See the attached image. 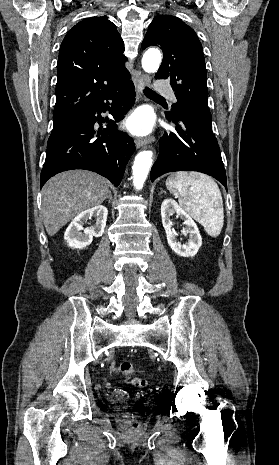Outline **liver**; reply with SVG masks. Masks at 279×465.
I'll list each match as a JSON object with an SVG mask.
<instances>
[{
    "label": "liver",
    "instance_id": "liver-1",
    "mask_svg": "<svg viewBox=\"0 0 279 465\" xmlns=\"http://www.w3.org/2000/svg\"><path fill=\"white\" fill-rule=\"evenodd\" d=\"M107 180L90 171L70 170L52 177L42 189V219L54 236L79 213L100 205L108 196Z\"/></svg>",
    "mask_w": 279,
    "mask_h": 465
}]
</instances>
